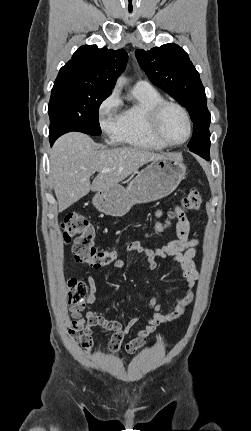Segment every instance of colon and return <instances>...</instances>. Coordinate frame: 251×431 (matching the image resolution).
<instances>
[{
    "instance_id": "1",
    "label": "colon",
    "mask_w": 251,
    "mask_h": 431,
    "mask_svg": "<svg viewBox=\"0 0 251 431\" xmlns=\"http://www.w3.org/2000/svg\"><path fill=\"white\" fill-rule=\"evenodd\" d=\"M201 196L197 189H190L182 199V207L189 211L198 210ZM176 214V211H175ZM173 214L169 217L172 218ZM62 236L66 243H72L75 260L100 268L113 263L117 258L114 250H100L96 247V230L91 221L78 213L67 214L62 222ZM88 294L87 286L77 279L68 282V301L72 305H82Z\"/></svg>"
}]
</instances>
